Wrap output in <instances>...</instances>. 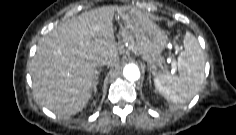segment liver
Here are the masks:
<instances>
[{"mask_svg":"<svg viewBox=\"0 0 236 135\" xmlns=\"http://www.w3.org/2000/svg\"><path fill=\"white\" fill-rule=\"evenodd\" d=\"M122 7L105 6L66 21L43 37L38 45L31 75L39 102L59 115L81 111L91 98L97 67L119 62L113 19ZM123 33L128 48L137 51L134 37L153 23L134 11Z\"/></svg>","mask_w":236,"mask_h":135,"instance_id":"obj_1","label":"liver"}]
</instances>
